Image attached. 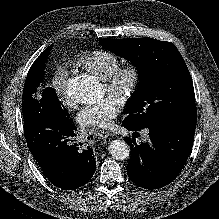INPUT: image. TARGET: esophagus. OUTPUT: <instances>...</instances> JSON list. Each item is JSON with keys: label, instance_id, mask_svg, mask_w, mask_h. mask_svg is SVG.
Segmentation results:
<instances>
[{"label": "esophagus", "instance_id": "esophagus-1", "mask_svg": "<svg viewBox=\"0 0 219 219\" xmlns=\"http://www.w3.org/2000/svg\"><path fill=\"white\" fill-rule=\"evenodd\" d=\"M96 136H98V138H100V139L105 140V139L109 138L110 134L107 131L99 130V131H97Z\"/></svg>", "mask_w": 219, "mask_h": 219}]
</instances>
